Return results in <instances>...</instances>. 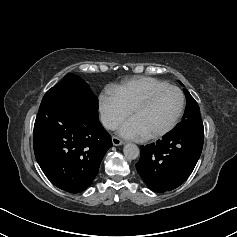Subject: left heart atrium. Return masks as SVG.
Here are the masks:
<instances>
[{
  "mask_svg": "<svg viewBox=\"0 0 237 237\" xmlns=\"http://www.w3.org/2000/svg\"><path fill=\"white\" fill-rule=\"evenodd\" d=\"M121 136L128 139H142L145 137L140 126L132 118L125 122L119 129Z\"/></svg>",
  "mask_w": 237,
  "mask_h": 237,
  "instance_id": "1",
  "label": "left heart atrium"
}]
</instances>
